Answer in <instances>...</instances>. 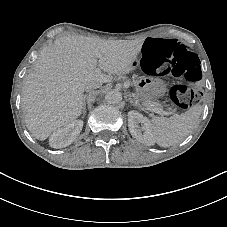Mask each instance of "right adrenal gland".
<instances>
[{"label": "right adrenal gland", "instance_id": "2a0ac1e0", "mask_svg": "<svg viewBox=\"0 0 227 227\" xmlns=\"http://www.w3.org/2000/svg\"><path fill=\"white\" fill-rule=\"evenodd\" d=\"M86 115V102H85V97L83 99V116L82 118H84V116Z\"/></svg>", "mask_w": 227, "mask_h": 227}]
</instances>
